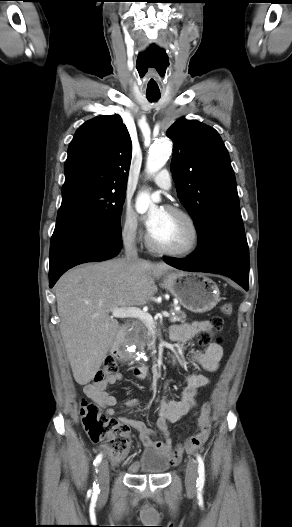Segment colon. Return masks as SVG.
<instances>
[{
    "mask_svg": "<svg viewBox=\"0 0 292 527\" xmlns=\"http://www.w3.org/2000/svg\"><path fill=\"white\" fill-rule=\"evenodd\" d=\"M232 307L230 304L222 306V313L230 315ZM212 325L218 331L223 328V319L215 316ZM213 339V333L203 331L198 334V341L203 345L209 344ZM119 363L114 356H108L94 377L95 383L104 381L107 377L117 373ZM81 417L85 432L95 444H100L109 454L116 459L124 458L129 452L132 444L130 426L116 418H111L101 412L95 403L83 401L81 404Z\"/></svg>",
    "mask_w": 292,
    "mask_h": 527,
    "instance_id": "colon-1",
    "label": "colon"
}]
</instances>
